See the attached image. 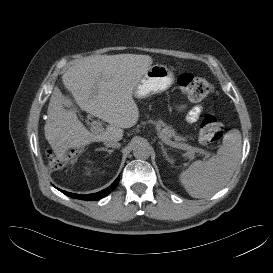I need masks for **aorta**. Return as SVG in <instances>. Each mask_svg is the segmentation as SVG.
I'll return each instance as SVG.
<instances>
[{"label": "aorta", "instance_id": "762f6f07", "mask_svg": "<svg viewBox=\"0 0 273 273\" xmlns=\"http://www.w3.org/2000/svg\"><path fill=\"white\" fill-rule=\"evenodd\" d=\"M151 147L146 143H138L133 148V155L137 159L145 160L150 157Z\"/></svg>", "mask_w": 273, "mask_h": 273}]
</instances>
